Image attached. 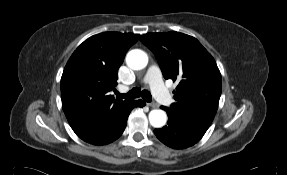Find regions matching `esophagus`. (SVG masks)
<instances>
[{
	"label": "esophagus",
	"instance_id": "1",
	"mask_svg": "<svg viewBox=\"0 0 287 175\" xmlns=\"http://www.w3.org/2000/svg\"><path fill=\"white\" fill-rule=\"evenodd\" d=\"M148 106H150L151 108H158L159 105L155 102H151V103H147Z\"/></svg>",
	"mask_w": 287,
	"mask_h": 175
}]
</instances>
